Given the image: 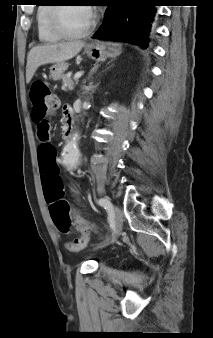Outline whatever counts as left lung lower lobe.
Returning <instances> with one entry per match:
<instances>
[{
	"label": "left lung lower lobe",
	"mask_w": 213,
	"mask_h": 338,
	"mask_svg": "<svg viewBox=\"0 0 213 338\" xmlns=\"http://www.w3.org/2000/svg\"><path fill=\"white\" fill-rule=\"evenodd\" d=\"M94 39L125 41L147 48L153 34L157 0H109Z\"/></svg>",
	"instance_id": "0a47b994"
}]
</instances>
